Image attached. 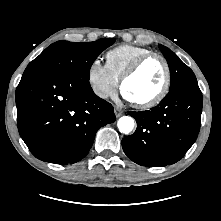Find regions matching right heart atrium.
Returning <instances> with one entry per match:
<instances>
[{"instance_id":"obj_1","label":"right heart atrium","mask_w":221,"mask_h":221,"mask_svg":"<svg viewBox=\"0 0 221 221\" xmlns=\"http://www.w3.org/2000/svg\"><path fill=\"white\" fill-rule=\"evenodd\" d=\"M87 83L95 96L101 100L115 99L118 95V82L99 59H93L88 66Z\"/></svg>"}]
</instances>
